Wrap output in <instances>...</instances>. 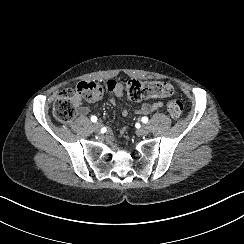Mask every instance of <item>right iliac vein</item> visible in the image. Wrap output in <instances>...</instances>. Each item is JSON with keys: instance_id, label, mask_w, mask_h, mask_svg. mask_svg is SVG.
I'll list each match as a JSON object with an SVG mask.
<instances>
[{"instance_id": "right-iliac-vein-1", "label": "right iliac vein", "mask_w": 244, "mask_h": 244, "mask_svg": "<svg viewBox=\"0 0 244 244\" xmlns=\"http://www.w3.org/2000/svg\"><path fill=\"white\" fill-rule=\"evenodd\" d=\"M93 127H94V130L96 132H98L101 128V122L100 121H96L94 124H93Z\"/></svg>"}]
</instances>
